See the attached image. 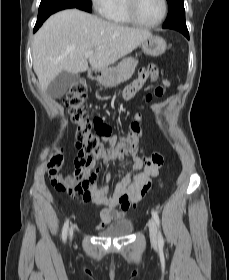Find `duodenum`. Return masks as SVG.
Here are the masks:
<instances>
[{"label":"duodenum","instance_id":"1","mask_svg":"<svg viewBox=\"0 0 229 280\" xmlns=\"http://www.w3.org/2000/svg\"><path fill=\"white\" fill-rule=\"evenodd\" d=\"M96 77H97V73H95V72H90L89 73V78L95 79Z\"/></svg>","mask_w":229,"mask_h":280}]
</instances>
